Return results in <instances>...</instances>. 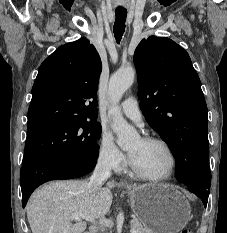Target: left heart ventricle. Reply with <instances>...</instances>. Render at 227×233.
I'll return each mask as SVG.
<instances>
[{
	"label": "left heart ventricle",
	"instance_id": "obj_1",
	"mask_svg": "<svg viewBox=\"0 0 227 233\" xmlns=\"http://www.w3.org/2000/svg\"><path fill=\"white\" fill-rule=\"evenodd\" d=\"M128 153L135 166L149 175H163L171 165L168 152L159 144L145 143L138 139L128 147Z\"/></svg>",
	"mask_w": 227,
	"mask_h": 233
}]
</instances>
